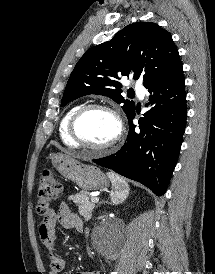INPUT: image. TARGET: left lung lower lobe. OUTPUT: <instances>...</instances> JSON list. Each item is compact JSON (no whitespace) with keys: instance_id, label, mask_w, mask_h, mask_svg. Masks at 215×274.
<instances>
[{"instance_id":"obj_1","label":"left lung lower lobe","mask_w":215,"mask_h":274,"mask_svg":"<svg viewBox=\"0 0 215 274\" xmlns=\"http://www.w3.org/2000/svg\"><path fill=\"white\" fill-rule=\"evenodd\" d=\"M152 108L133 124L128 117L127 142L115 154L94 163L150 188L162 196L178 160L186 126L187 106L182 65L160 82L146 87Z\"/></svg>"}]
</instances>
